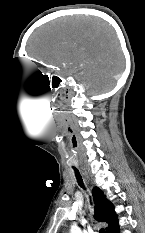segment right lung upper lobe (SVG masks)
I'll return each mask as SVG.
<instances>
[{
  "label": "right lung upper lobe",
  "mask_w": 145,
  "mask_h": 233,
  "mask_svg": "<svg viewBox=\"0 0 145 233\" xmlns=\"http://www.w3.org/2000/svg\"><path fill=\"white\" fill-rule=\"evenodd\" d=\"M93 196L95 201V219L100 222L108 223L106 233L118 223L117 215L114 211L112 203L104 198L102 190L98 187L93 189Z\"/></svg>",
  "instance_id": "obj_1"
}]
</instances>
